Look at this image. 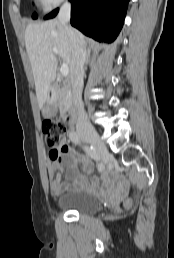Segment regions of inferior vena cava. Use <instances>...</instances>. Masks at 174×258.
Here are the masks:
<instances>
[{
    "mask_svg": "<svg viewBox=\"0 0 174 258\" xmlns=\"http://www.w3.org/2000/svg\"><path fill=\"white\" fill-rule=\"evenodd\" d=\"M70 13L71 4L66 1L58 13V21L64 26L71 45L72 59L70 64V79L72 84V98L73 103L78 110L76 128L78 131H86L93 129L87 118L81 99L83 89V66L86 61V50L80 43L76 33L68 26Z\"/></svg>",
    "mask_w": 174,
    "mask_h": 258,
    "instance_id": "1",
    "label": "inferior vena cava"
}]
</instances>
